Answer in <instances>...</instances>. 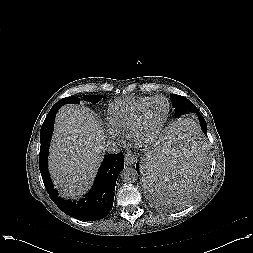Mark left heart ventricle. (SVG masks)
<instances>
[{
	"mask_svg": "<svg viewBox=\"0 0 253 253\" xmlns=\"http://www.w3.org/2000/svg\"><path fill=\"white\" fill-rule=\"evenodd\" d=\"M167 108V101L163 98L154 100L148 106L141 126L144 134L154 130L163 121Z\"/></svg>",
	"mask_w": 253,
	"mask_h": 253,
	"instance_id": "left-heart-ventricle-1",
	"label": "left heart ventricle"
}]
</instances>
